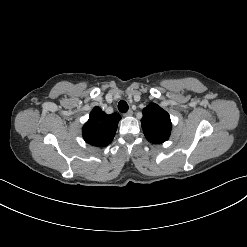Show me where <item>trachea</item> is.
<instances>
[{"instance_id": "obj_1", "label": "trachea", "mask_w": 247, "mask_h": 247, "mask_svg": "<svg viewBox=\"0 0 247 247\" xmlns=\"http://www.w3.org/2000/svg\"><path fill=\"white\" fill-rule=\"evenodd\" d=\"M128 104L126 101L124 100H121L119 103H118V110L121 112V113H126L128 111Z\"/></svg>"}]
</instances>
